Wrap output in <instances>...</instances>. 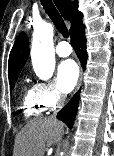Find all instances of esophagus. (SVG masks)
<instances>
[{
	"mask_svg": "<svg viewBox=\"0 0 114 156\" xmlns=\"http://www.w3.org/2000/svg\"><path fill=\"white\" fill-rule=\"evenodd\" d=\"M82 75H83V71L81 70L77 89H79V87H80V85H81V83H82Z\"/></svg>",
	"mask_w": 114,
	"mask_h": 156,
	"instance_id": "34e87169",
	"label": "esophagus"
}]
</instances>
